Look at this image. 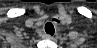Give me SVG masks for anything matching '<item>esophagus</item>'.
<instances>
[{
    "label": "esophagus",
    "instance_id": "obj_1",
    "mask_svg": "<svg viewBox=\"0 0 97 48\" xmlns=\"http://www.w3.org/2000/svg\"><path fill=\"white\" fill-rule=\"evenodd\" d=\"M43 38H45V39H54V37L49 35V34H44Z\"/></svg>",
    "mask_w": 97,
    "mask_h": 48
}]
</instances>
